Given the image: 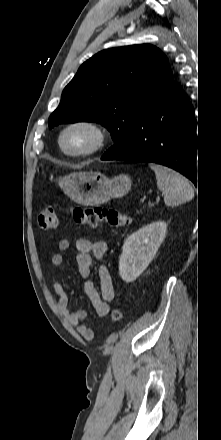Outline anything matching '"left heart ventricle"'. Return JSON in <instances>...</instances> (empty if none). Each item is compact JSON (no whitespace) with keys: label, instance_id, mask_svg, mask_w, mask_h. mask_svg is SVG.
Returning <instances> with one entry per match:
<instances>
[{"label":"left heart ventricle","instance_id":"obj_1","mask_svg":"<svg viewBox=\"0 0 221 440\" xmlns=\"http://www.w3.org/2000/svg\"><path fill=\"white\" fill-rule=\"evenodd\" d=\"M89 143L88 135L82 130L70 131L64 138V145L67 149L79 150Z\"/></svg>","mask_w":221,"mask_h":440}]
</instances>
